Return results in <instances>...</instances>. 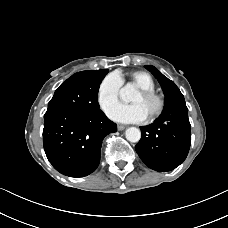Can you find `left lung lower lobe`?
Masks as SVG:
<instances>
[{
  "mask_svg": "<svg viewBox=\"0 0 228 228\" xmlns=\"http://www.w3.org/2000/svg\"><path fill=\"white\" fill-rule=\"evenodd\" d=\"M190 127L185 100H176L164 107L152 124L140 127L142 135L135 149L149 168L160 172L173 170L187 157Z\"/></svg>",
  "mask_w": 228,
  "mask_h": 228,
  "instance_id": "left-lung-lower-lobe-1",
  "label": "left lung lower lobe"
}]
</instances>
